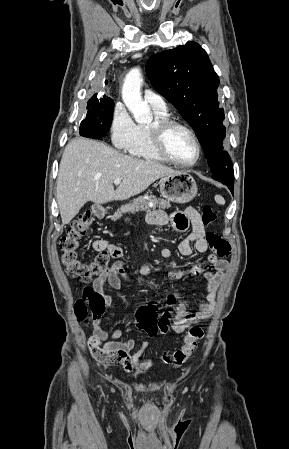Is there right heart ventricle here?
Wrapping results in <instances>:
<instances>
[{
	"instance_id": "1",
	"label": "right heart ventricle",
	"mask_w": 289,
	"mask_h": 449,
	"mask_svg": "<svg viewBox=\"0 0 289 449\" xmlns=\"http://www.w3.org/2000/svg\"><path fill=\"white\" fill-rule=\"evenodd\" d=\"M156 118H168L166 110L159 111L153 109ZM140 135L136 146L130 151L132 155L149 160H163L154 149L149 127H139Z\"/></svg>"
}]
</instances>
